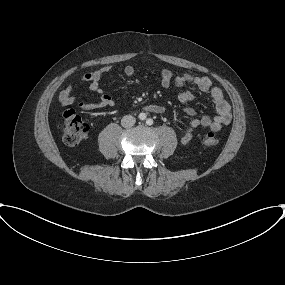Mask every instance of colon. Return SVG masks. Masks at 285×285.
Listing matches in <instances>:
<instances>
[{"instance_id": "1", "label": "colon", "mask_w": 285, "mask_h": 285, "mask_svg": "<svg viewBox=\"0 0 285 285\" xmlns=\"http://www.w3.org/2000/svg\"><path fill=\"white\" fill-rule=\"evenodd\" d=\"M63 141L68 146H77L88 135L89 126L73 110L66 111L63 116ZM203 143L208 147L218 144L215 133L209 132L203 138Z\"/></svg>"}]
</instances>
